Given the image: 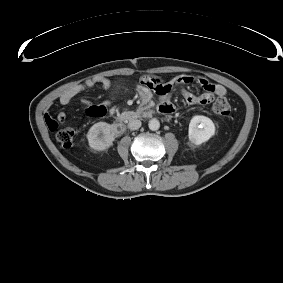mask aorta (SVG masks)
Returning a JSON list of instances; mask_svg holds the SVG:
<instances>
[{"label": "aorta", "mask_w": 283, "mask_h": 283, "mask_svg": "<svg viewBox=\"0 0 283 283\" xmlns=\"http://www.w3.org/2000/svg\"><path fill=\"white\" fill-rule=\"evenodd\" d=\"M148 126L150 130L156 131L160 128V122L156 118H153L149 120Z\"/></svg>", "instance_id": "762f6f07"}]
</instances>
